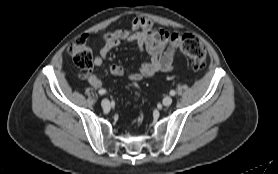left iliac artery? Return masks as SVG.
<instances>
[{"mask_svg":"<svg viewBox=\"0 0 278 174\" xmlns=\"http://www.w3.org/2000/svg\"><path fill=\"white\" fill-rule=\"evenodd\" d=\"M175 94H176V92H175L174 90H171V91H170V95H171V96H174Z\"/></svg>","mask_w":278,"mask_h":174,"instance_id":"obj_1","label":"left iliac artery"}]
</instances>
